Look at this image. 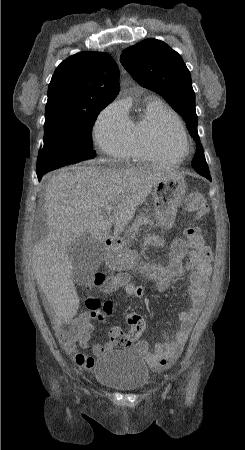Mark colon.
<instances>
[{"label": "colon", "mask_w": 245, "mask_h": 450, "mask_svg": "<svg viewBox=\"0 0 245 450\" xmlns=\"http://www.w3.org/2000/svg\"><path fill=\"white\" fill-rule=\"evenodd\" d=\"M184 207L191 212L197 220L202 219L209 211L208 204L203 195L198 191H190L184 200ZM184 235L187 239L189 247L194 251L200 260L208 262L212 259V251L205 244L201 228L198 224H191L184 230ZM128 276L123 273H114L106 275L102 272L94 273L90 277V283L87 289L98 288L102 292H109L113 287L124 284ZM90 307L94 310H99L101 305L95 299H91ZM102 315H98L101 318ZM129 330L127 332L113 328L110 336L112 341L117 346H129L137 341L145 328L144 318L136 312L128 314L126 318ZM55 329L65 341L81 342L86 333L92 329V325L86 320H70L58 322L55 324ZM81 362L86 361L83 356L79 357ZM92 365V361L90 362Z\"/></svg>", "instance_id": "5ec220e1"}]
</instances>
